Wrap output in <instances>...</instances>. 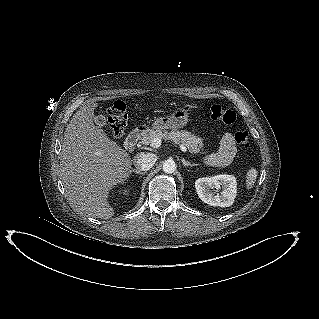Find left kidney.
<instances>
[{
  "label": "left kidney",
  "mask_w": 319,
  "mask_h": 319,
  "mask_svg": "<svg viewBox=\"0 0 319 319\" xmlns=\"http://www.w3.org/2000/svg\"><path fill=\"white\" fill-rule=\"evenodd\" d=\"M199 198L211 206L229 207L233 204L237 193L236 178L232 175L222 174L213 177L199 178L195 182ZM222 189L220 193L210 189Z\"/></svg>",
  "instance_id": "5707ae66"
}]
</instances>
